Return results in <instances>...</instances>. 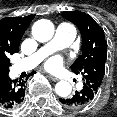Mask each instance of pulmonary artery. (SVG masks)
<instances>
[{
  "mask_svg": "<svg viewBox=\"0 0 117 117\" xmlns=\"http://www.w3.org/2000/svg\"><path fill=\"white\" fill-rule=\"evenodd\" d=\"M76 37V29L68 22L60 23L55 31L54 37L46 45L29 57L16 62L15 71H27L34 68L45 56L55 50L68 47Z\"/></svg>",
  "mask_w": 117,
  "mask_h": 117,
  "instance_id": "1",
  "label": "pulmonary artery"
}]
</instances>
